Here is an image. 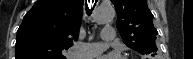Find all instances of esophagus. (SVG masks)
<instances>
[{
    "mask_svg": "<svg viewBox=\"0 0 193 59\" xmlns=\"http://www.w3.org/2000/svg\"><path fill=\"white\" fill-rule=\"evenodd\" d=\"M89 3L90 8L94 7V5H98L99 1L98 0H90L89 2L87 1V4Z\"/></svg>",
    "mask_w": 193,
    "mask_h": 59,
    "instance_id": "esophagus-1",
    "label": "esophagus"
}]
</instances>
